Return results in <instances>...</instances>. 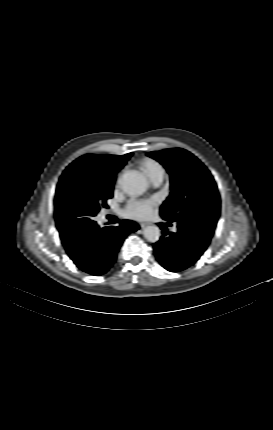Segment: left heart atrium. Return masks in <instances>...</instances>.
<instances>
[{
  "mask_svg": "<svg viewBox=\"0 0 273 430\" xmlns=\"http://www.w3.org/2000/svg\"><path fill=\"white\" fill-rule=\"evenodd\" d=\"M154 206V200H132L125 210V215L135 219H144L152 213Z\"/></svg>",
  "mask_w": 273,
  "mask_h": 430,
  "instance_id": "39dd6f15",
  "label": "left heart atrium"
}]
</instances>
